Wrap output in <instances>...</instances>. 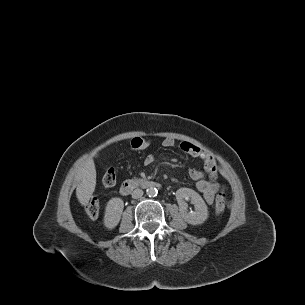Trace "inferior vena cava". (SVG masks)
Returning <instances> with one entry per match:
<instances>
[{
    "instance_id": "602c4592",
    "label": "inferior vena cava",
    "mask_w": 305,
    "mask_h": 305,
    "mask_svg": "<svg viewBox=\"0 0 305 305\" xmlns=\"http://www.w3.org/2000/svg\"><path fill=\"white\" fill-rule=\"evenodd\" d=\"M143 196V191L141 189H135L133 192H132V198L134 199H138V198H141Z\"/></svg>"
}]
</instances>
